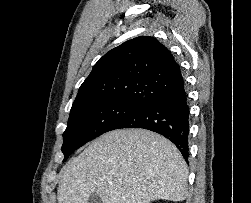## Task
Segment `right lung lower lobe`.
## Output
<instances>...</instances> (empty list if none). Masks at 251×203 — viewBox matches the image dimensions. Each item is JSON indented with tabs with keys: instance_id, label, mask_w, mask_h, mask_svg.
Instances as JSON below:
<instances>
[{
	"instance_id": "1",
	"label": "right lung lower lobe",
	"mask_w": 251,
	"mask_h": 203,
	"mask_svg": "<svg viewBox=\"0 0 251 203\" xmlns=\"http://www.w3.org/2000/svg\"><path fill=\"white\" fill-rule=\"evenodd\" d=\"M190 110L184 83L177 89L142 106L114 128H143L172 141L187 161Z\"/></svg>"
}]
</instances>
